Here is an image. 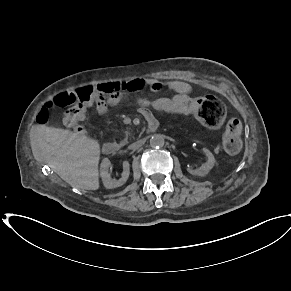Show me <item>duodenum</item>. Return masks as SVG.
Returning a JSON list of instances; mask_svg holds the SVG:
<instances>
[{
	"mask_svg": "<svg viewBox=\"0 0 291 291\" xmlns=\"http://www.w3.org/2000/svg\"><path fill=\"white\" fill-rule=\"evenodd\" d=\"M156 126H157V123L154 120V118H149L148 119V131L149 132L153 131L156 128ZM118 150H119V145L116 143H113V142H106L102 147V151L106 155L114 154Z\"/></svg>",
	"mask_w": 291,
	"mask_h": 291,
	"instance_id": "duodenum-1",
	"label": "duodenum"
}]
</instances>
